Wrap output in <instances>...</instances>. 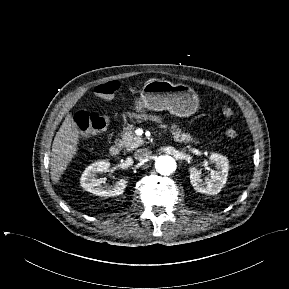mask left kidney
Returning <instances> with one entry per match:
<instances>
[{"instance_id": "left-kidney-1", "label": "left kidney", "mask_w": 289, "mask_h": 289, "mask_svg": "<svg viewBox=\"0 0 289 289\" xmlns=\"http://www.w3.org/2000/svg\"><path fill=\"white\" fill-rule=\"evenodd\" d=\"M210 161L215 163L216 171L211 170L210 178L203 180L201 172L196 168H190V182L197 192L215 195L224 187L227 181L229 163L228 159L218 153H212Z\"/></svg>"}]
</instances>
